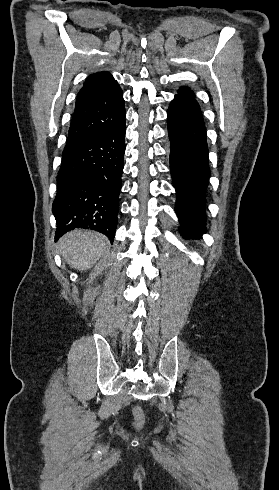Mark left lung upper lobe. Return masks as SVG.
<instances>
[{"mask_svg": "<svg viewBox=\"0 0 279 490\" xmlns=\"http://www.w3.org/2000/svg\"><path fill=\"white\" fill-rule=\"evenodd\" d=\"M176 96L180 97L182 99L188 100L190 102L197 103V101L195 100V97L193 95V91L190 90V88H188V87H182L179 91V94Z\"/></svg>", "mask_w": 279, "mask_h": 490, "instance_id": "left-lung-upper-lobe-1", "label": "left lung upper lobe"}]
</instances>
